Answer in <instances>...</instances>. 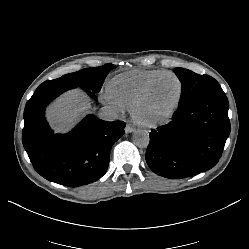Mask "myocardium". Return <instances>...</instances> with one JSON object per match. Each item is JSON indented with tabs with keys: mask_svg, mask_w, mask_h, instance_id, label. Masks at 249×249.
Masks as SVG:
<instances>
[{
	"mask_svg": "<svg viewBox=\"0 0 249 249\" xmlns=\"http://www.w3.org/2000/svg\"><path fill=\"white\" fill-rule=\"evenodd\" d=\"M168 76L174 77L179 84V95H178V99H177L175 105L162 117H158V118H154V119L141 118L139 116V112H138L141 104L147 98V96L149 95V93L152 90V88L154 87V85L162 78L168 77ZM183 98H184V83H183L182 79L180 78V76L174 72H164V73L159 74V75L155 76L154 78H152L142 88V90L139 92V94L135 97V99L133 100V102L130 105V113H131L133 120L137 124H139L143 127H146V128L159 127V126L167 124L168 122L171 121V119L174 117V115L176 114V112L180 108L182 101H183Z\"/></svg>",
	"mask_w": 249,
	"mask_h": 249,
	"instance_id": "1",
	"label": "myocardium"
}]
</instances>
